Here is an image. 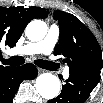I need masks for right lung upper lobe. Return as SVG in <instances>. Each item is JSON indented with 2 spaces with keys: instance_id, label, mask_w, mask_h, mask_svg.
<instances>
[{
  "instance_id": "right-lung-upper-lobe-1",
  "label": "right lung upper lobe",
  "mask_w": 103,
  "mask_h": 103,
  "mask_svg": "<svg viewBox=\"0 0 103 103\" xmlns=\"http://www.w3.org/2000/svg\"><path fill=\"white\" fill-rule=\"evenodd\" d=\"M47 15V11L39 7H0V45L15 46L32 19L46 18ZM4 68L0 65V70Z\"/></svg>"
}]
</instances>
